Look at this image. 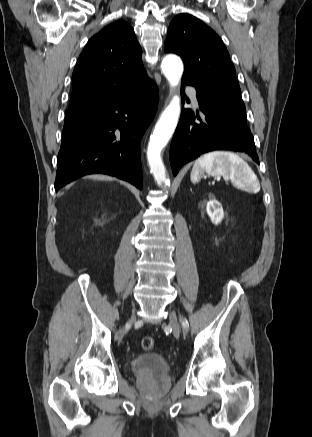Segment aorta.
<instances>
[{
	"instance_id": "1",
	"label": "aorta",
	"mask_w": 312,
	"mask_h": 437,
	"mask_svg": "<svg viewBox=\"0 0 312 437\" xmlns=\"http://www.w3.org/2000/svg\"><path fill=\"white\" fill-rule=\"evenodd\" d=\"M161 68L171 87L177 86L183 73L181 59L174 55L166 56L162 61ZM179 114L180 99L175 95L162 113L150 136L147 159L150 172L159 186L167 184L166 169L161 158V152L175 131Z\"/></svg>"
}]
</instances>
